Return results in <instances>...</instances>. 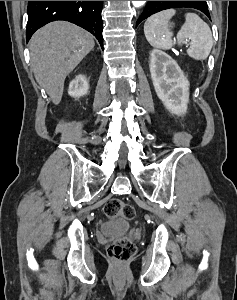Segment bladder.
Listing matches in <instances>:
<instances>
[{"label": "bladder", "mask_w": 237, "mask_h": 300, "mask_svg": "<svg viewBox=\"0 0 237 300\" xmlns=\"http://www.w3.org/2000/svg\"><path fill=\"white\" fill-rule=\"evenodd\" d=\"M127 229V223L123 219H112L102 226V231L109 236L117 235Z\"/></svg>", "instance_id": "obj_1"}]
</instances>
